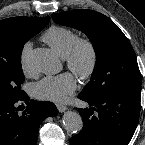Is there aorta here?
Wrapping results in <instances>:
<instances>
[{"instance_id":"aorta-1","label":"aorta","mask_w":145,"mask_h":145,"mask_svg":"<svg viewBox=\"0 0 145 145\" xmlns=\"http://www.w3.org/2000/svg\"><path fill=\"white\" fill-rule=\"evenodd\" d=\"M30 63L38 71L44 73H51L54 71L57 60L54 55L47 49H35L30 57ZM63 125L67 132L76 134L82 130L83 120L79 113L74 111H67L63 115Z\"/></svg>"}]
</instances>
